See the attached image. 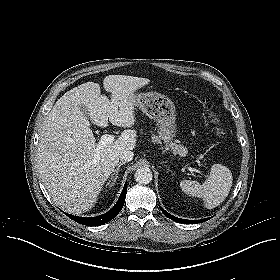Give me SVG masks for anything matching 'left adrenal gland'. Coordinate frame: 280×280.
I'll return each mask as SVG.
<instances>
[{
    "instance_id": "1",
    "label": "left adrenal gland",
    "mask_w": 280,
    "mask_h": 280,
    "mask_svg": "<svg viewBox=\"0 0 280 280\" xmlns=\"http://www.w3.org/2000/svg\"><path fill=\"white\" fill-rule=\"evenodd\" d=\"M168 172H170L173 175V172L169 169V167H166Z\"/></svg>"
}]
</instances>
